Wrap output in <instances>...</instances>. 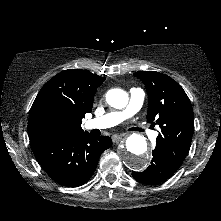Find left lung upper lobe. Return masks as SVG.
<instances>
[{
    "label": "left lung upper lobe",
    "instance_id": "1",
    "mask_svg": "<svg viewBox=\"0 0 221 221\" xmlns=\"http://www.w3.org/2000/svg\"><path fill=\"white\" fill-rule=\"evenodd\" d=\"M134 75L148 92L147 122L158 124L161 129L155 148L180 167L189 152L194 131L191 102L182 87L165 74L138 71Z\"/></svg>",
    "mask_w": 221,
    "mask_h": 221
}]
</instances>
